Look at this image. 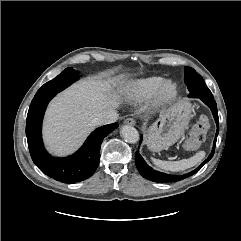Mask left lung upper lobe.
Segmentation results:
<instances>
[{"mask_svg": "<svg viewBox=\"0 0 241 241\" xmlns=\"http://www.w3.org/2000/svg\"><path fill=\"white\" fill-rule=\"evenodd\" d=\"M185 83L187 86H192V89H189L192 94L196 95H208L211 96V91L206 86L203 78L196 73V71L190 67H185ZM194 98V97H193Z\"/></svg>", "mask_w": 241, "mask_h": 241, "instance_id": "left-lung-upper-lobe-1", "label": "left lung upper lobe"}]
</instances>
